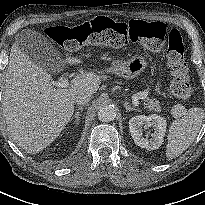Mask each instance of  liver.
I'll return each instance as SVG.
<instances>
[{"mask_svg":"<svg viewBox=\"0 0 205 205\" xmlns=\"http://www.w3.org/2000/svg\"><path fill=\"white\" fill-rule=\"evenodd\" d=\"M79 64L78 57L65 63ZM3 94V116L12 139L27 153L35 154L49 146L65 128L74 112L75 97L95 93L100 76L93 72L77 74L67 88H55L51 75L32 62L15 42L7 66Z\"/></svg>","mask_w":205,"mask_h":205,"instance_id":"obj_1","label":"liver"}]
</instances>
